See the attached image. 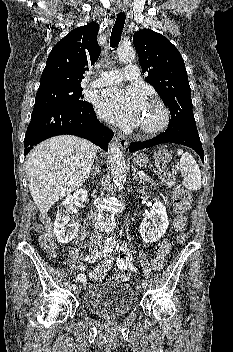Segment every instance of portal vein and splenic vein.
Instances as JSON below:
<instances>
[{
  "mask_svg": "<svg viewBox=\"0 0 233 352\" xmlns=\"http://www.w3.org/2000/svg\"><path fill=\"white\" fill-rule=\"evenodd\" d=\"M138 175H139V176H140V178H141V177L145 176V173H143V172H139V173H138Z\"/></svg>",
  "mask_w": 233,
  "mask_h": 352,
  "instance_id": "obj_1",
  "label": "portal vein and splenic vein"
}]
</instances>
